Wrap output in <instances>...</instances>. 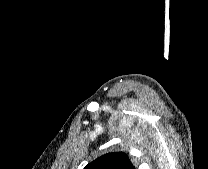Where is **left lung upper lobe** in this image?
I'll use <instances>...</instances> for the list:
<instances>
[{"mask_svg": "<svg viewBox=\"0 0 208 169\" xmlns=\"http://www.w3.org/2000/svg\"><path fill=\"white\" fill-rule=\"evenodd\" d=\"M84 169H135L123 152L104 154L90 162Z\"/></svg>", "mask_w": 208, "mask_h": 169, "instance_id": "5c2ea615", "label": "left lung upper lobe"}]
</instances>
